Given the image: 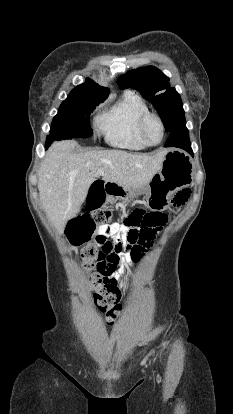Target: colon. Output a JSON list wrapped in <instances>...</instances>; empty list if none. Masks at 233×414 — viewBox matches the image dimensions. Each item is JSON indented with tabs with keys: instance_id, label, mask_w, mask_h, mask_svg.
<instances>
[{
	"instance_id": "5ec220e1",
	"label": "colon",
	"mask_w": 233,
	"mask_h": 414,
	"mask_svg": "<svg viewBox=\"0 0 233 414\" xmlns=\"http://www.w3.org/2000/svg\"><path fill=\"white\" fill-rule=\"evenodd\" d=\"M188 196V189L181 190L170 203L179 207L187 201ZM106 217V213L102 210L97 212L85 210L80 216L69 222L67 235L71 243L83 246L80 266L88 274V284L93 292V302L97 307L103 306L101 312L105 313L107 320L113 324L122 311L121 292L111 295L103 288V280L96 274L94 262L98 261L99 253L102 250L127 251L133 262H139L145 249L150 246L153 238L152 231L159 229L166 217L161 212H144L137 209L126 218L122 227L115 226L110 229V232L116 231L119 232V235H111L112 239L103 238L100 243L97 241V236L94 241H90L96 225L103 223Z\"/></svg>"
}]
</instances>
